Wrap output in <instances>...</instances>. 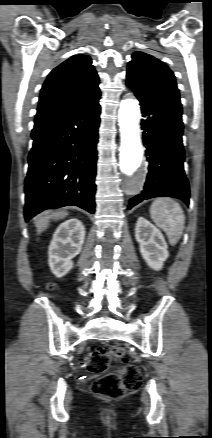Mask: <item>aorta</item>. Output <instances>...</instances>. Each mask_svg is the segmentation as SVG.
I'll return each mask as SVG.
<instances>
[{
    "mask_svg": "<svg viewBox=\"0 0 212 438\" xmlns=\"http://www.w3.org/2000/svg\"><path fill=\"white\" fill-rule=\"evenodd\" d=\"M139 120L138 101L131 98L123 100L118 111L121 135L119 165L121 171L128 176H132L137 171L143 159Z\"/></svg>",
    "mask_w": 212,
    "mask_h": 438,
    "instance_id": "762f6f07",
    "label": "aorta"
}]
</instances>
